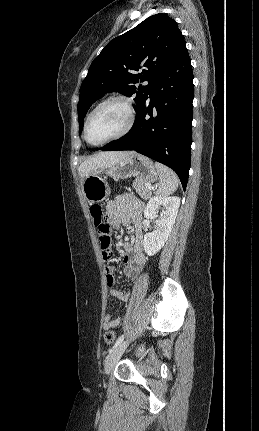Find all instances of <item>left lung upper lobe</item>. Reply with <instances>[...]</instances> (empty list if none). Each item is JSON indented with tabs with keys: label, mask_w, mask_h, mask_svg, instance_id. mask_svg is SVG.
<instances>
[{
	"label": "left lung upper lobe",
	"mask_w": 259,
	"mask_h": 431,
	"mask_svg": "<svg viewBox=\"0 0 259 431\" xmlns=\"http://www.w3.org/2000/svg\"><path fill=\"white\" fill-rule=\"evenodd\" d=\"M184 41L177 23L165 14H155L132 30L111 40L93 60L88 74L80 88L79 133L84 125V117L99 97L107 92L117 91L134 98L135 111L148 96L154 80ZM141 70L140 74H136ZM148 81V85H133Z\"/></svg>",
	"instance_id": "5c2ea615"
}]
</instances>
